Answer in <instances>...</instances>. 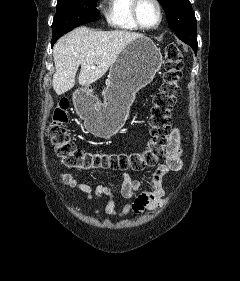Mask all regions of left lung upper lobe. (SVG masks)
Here are the masks:
<instances>
[{
  "label": "left lung upper lobe",
  "instance_id": "left-lung-upper-lobe-1",
  "mask_svg": "<svg viewBox=\"0 0 240 281\" xmlns=\"http://www.w3.org/2000/svg\"><path fill=\"white\" fill-rule=\"evenodd\" d=\"M167 15L169 27L183 42L197 51L196 18L189 0H158Z\"/></svg>",
  "mask_w": 240,
  "mask_h": 281
}]
</instances>
